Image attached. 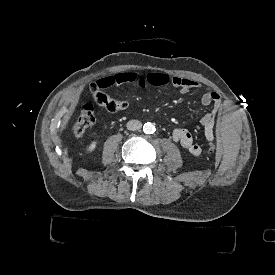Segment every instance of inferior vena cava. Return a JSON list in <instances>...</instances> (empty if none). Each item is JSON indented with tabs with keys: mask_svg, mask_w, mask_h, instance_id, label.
<instances>
[{
	"mask_svg": "<svg viewBox=\"0 0 275 275\" xmlns=\"http://www.w3.org/2000/svg\"><path fill=\"white\" fill-rule=\"evenodd\" d=\"M126 127L128 130L136 131L141 129L142 123L139 120H130L127 122Z\"/></svg>",
	"mask_w": 275,
	"mask_h": 275,
	"instance_id": "obj_1",
	"label": "inferior vena cava"
}]
</instances>
